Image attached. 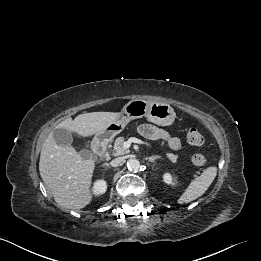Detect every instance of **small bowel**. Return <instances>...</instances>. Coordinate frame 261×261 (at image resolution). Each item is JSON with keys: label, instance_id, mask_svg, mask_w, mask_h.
Wrapping results in <instances>:
<instances>
[{"label": "small bowel", "instance_id": "1", "mask_svg": "<svg viewBox=\"0 0 261 261\" xmlns=\"http://www.w3.org/2000/svg\"><path fill=\"white\" fill-rule=\"evenodd\" d=\"M139 131L146 138L165 140L173 150H180L182 148V143L179 138L171 136L153 124H143L140 126Z\"/></svg>", "mask_w": 261, "mask_h": 261}]
</instances>
